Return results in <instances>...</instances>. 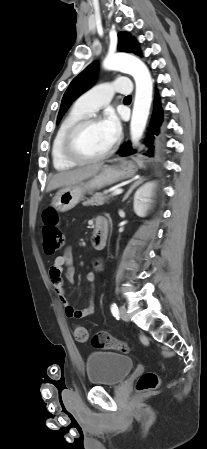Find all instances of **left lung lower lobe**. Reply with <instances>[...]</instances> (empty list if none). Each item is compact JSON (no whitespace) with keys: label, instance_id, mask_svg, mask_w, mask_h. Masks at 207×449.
<instances>
[{"label":"left lung lower lobe","instance_id":"0a47b994","mask_svg":"<svg viewBox=\"0 0 207 449\" xmlns=\"http://www.w3.org/2000/svg\"><path fill=\"white\" fill-rule=\"evenodd\" d=\"M149 128L146 133L145 144L148 147L146 155L152 156L155 147H159L165 127L163 124V110L160 103V98L156 91V96L154 99L153 114L150 120ZM136 153V150L132 149L131 144H124L118 151L120 156H128Z\"/></svg>","mask_w":207,"mask_h":449}]
</instances>
